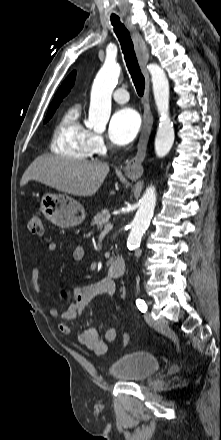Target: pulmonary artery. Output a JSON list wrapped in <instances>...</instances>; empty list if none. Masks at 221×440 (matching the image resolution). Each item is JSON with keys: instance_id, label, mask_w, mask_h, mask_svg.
<instances>
[{"instance_id": "1", "label": "pulmonary artery", "mask_w": 221, "mask_h": 440, "mask_svg": "<svg viewBox=\"0 0 221 440\" xmlns=\"http://www.w3.org/2000/svg\"><path fill=\"white\" fill-rule=\"evenodd\" d=\"M114 101L117 103H126L129 100V94L124 88H118L114 91L112 95Z\"/></svg>"}]
</instances>
